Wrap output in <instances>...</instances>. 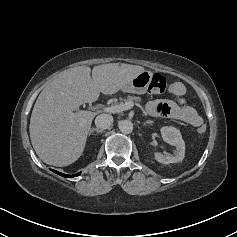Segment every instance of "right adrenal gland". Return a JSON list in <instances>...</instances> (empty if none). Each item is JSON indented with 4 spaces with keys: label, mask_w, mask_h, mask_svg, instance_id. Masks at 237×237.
<instances>
[{
    "label": "right adrenal gland",
    "mask_w": 237,
    "mask_h": 237,
    "mask_svg": "<svg viewBox=\"0 0 237 237\" xmlns=\"http://www.w3.org/2000/svg\"><path fill=\"white\" fill-rule=\"evenodd\" d=\"M94 131L97 132V133H102V132H103L102 129H99V128H91V129L89 130V135H91V133H93Z\"/></svg>",
    "instance_id": "obj_1"
}]
</instances>
